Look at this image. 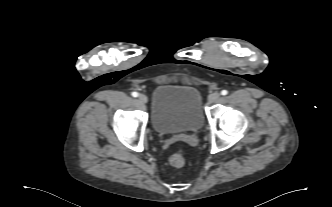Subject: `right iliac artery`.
Instances as JSON below:
<instances>
[{"label": "right iliac artery", "instance_id": "1", "mask_svg": "<svg viewBox=\"0 0 332 207\" xmlns=\"http://www.w3.org/2000/svg\"><path fill=\"white\" fill-rule=\"evenodd\" d=\"M132 96H133V97H138V93H137V92H133V93H132Z\"/></svg>", "mask_w": 332, "mask_h": 207}]
</instances>
